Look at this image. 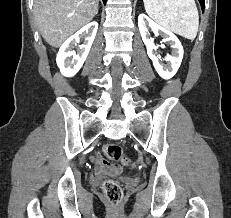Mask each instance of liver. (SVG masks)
<instances>
[{"instance_id": "obj_1", "label": "liver", "mask_w": 231, "mask_h": 218, "mask_svg": "<svg viewBox=\"0 0 231 218\" xmlns=\"http://www.w3.org/2000/svg\"><path fill=\"white\" fill-rule=\"evenodd\" d=\"M98 6L99 0H34V17L44 40L57 48L93 19Z\"/></svg>"}]
</instances>
